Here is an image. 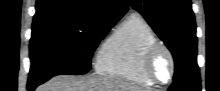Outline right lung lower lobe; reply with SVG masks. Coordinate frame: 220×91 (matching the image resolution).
Segmentation results:
<instances>
[{
    "instance_id": "1",
    "label": "right lung lower lobe",
    "mask_w": 220,
    "mask_h": 91,
    "mask_svg": "<svg viewBox=\"0 0 220 91\" xmlns=\"http://www.w3.org/2000/svg\"><path fill=\"white\" fill-rule=\"evenodd\" d=\"M40 83L39 82H35V83H28V90L29 91H33Z\"/></svg>"
}]
</instances>
